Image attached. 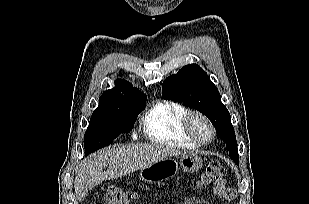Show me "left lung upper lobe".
I'll return each mask as SVG.
<instances>
[{"mask_svg": "<svg viewBox=\"0 0 309 204\" xmlns=\"http://www.w3.org/2000/svg\"><path fill=\"white\" fill-rule=\"evenodd\" d=\"M162 97L183 103L208 117L219 137L225 141L231 159L239 163L230 114L221 102L217 87L199 65H186L177 74L166 78L162 85Z\"/></svg>", "mask_w": 309, "mask_h": 204, "instance_id": "1", "label": "left lung upper lobe"}]
</instances>
